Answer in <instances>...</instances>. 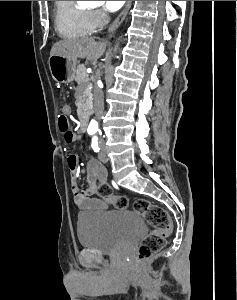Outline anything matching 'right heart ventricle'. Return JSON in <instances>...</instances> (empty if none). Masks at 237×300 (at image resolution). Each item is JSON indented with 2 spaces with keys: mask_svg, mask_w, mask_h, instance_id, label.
Returning a JSON list of instances; mask_svg holds the SVG:
<instances>
[{
  "mask_svg": "<svg viewBox=\"0 0 237 300\" xmlns=\"http://www.w3.org/2000/svg\"><path fill=\"white\" fill-rule=\"evenodd\" d=\"M55 24L63 37L86 35L91 31L90 12L76 1H54Z\"/></svg>",
  "mask_w": 237,
  "mask_h": 300,
  "instance_id": "1",
  "label": "right heart ventricle"
}]
</instances>
